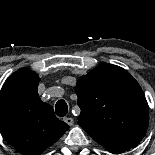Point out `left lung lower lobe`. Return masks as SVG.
Returning a JSON list of instances; mask_svg holds the SVG:
<instances>
[{
	"instance_id": "1",
	"label": "left lung lower lobe",
	"mask_w": 155,
	"mask_h": 155,
	"mask_svg": "<svg viewBox=\"0 0 155 155\" xmlns=\"http://www.w3.org/2000/svg\"><path fill=\"white\" fill-rule=\"evenodd\" d=\"M135 146H137L136 143H131V144H127V145H121L118 147H113V148H110L107 150L110 151L111 153L119 154V153L124 152L126 150H129L130 148L135 147Z\"/></svg>"
}]
</instances>
